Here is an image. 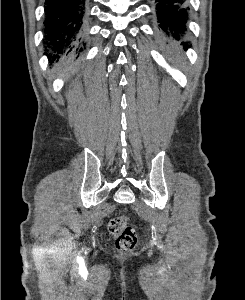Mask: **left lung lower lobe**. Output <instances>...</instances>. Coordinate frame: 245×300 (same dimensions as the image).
I'll return each mask as SVG.
<instances>
[{
	"label": "left lung lower lobe",
	"instance_id": "1",
	"mask_svg": "<svg viewBox=\"0 0 245 300\" xmlns=\"http://www.w3.org/2000/svg\"><path fill=\"white\" fill-rule=\"evenodd\" d=\"M157 19L164 37L169 42L180 41L184 33V23L187 19V0H156ZM184 49L190 45L181 43Z\"/></svg>",
	"mask_w": 245,
	"mask_h": 300
}]
</instances>
